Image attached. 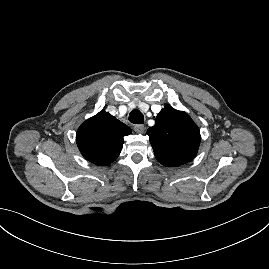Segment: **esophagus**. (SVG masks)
I'll list each match as a JSON object with an SVG mask.
<instances>
[{
    "instance_id": "34e87169",
    "label": "esophagus",
    "mask_w": 269,
    "mask_h": 269,
    "mask_svg": "<svg viewBox=\"0 0 269 269\" xmlns=\"http://www.w3.org/2000/svg\"><path fill=\"white\" fill-rule=\"evenodd\" d=\"M145 130V127L143 125H135L134 126V131L137 133H143Z\"/></svg>"
}]
</instances>
